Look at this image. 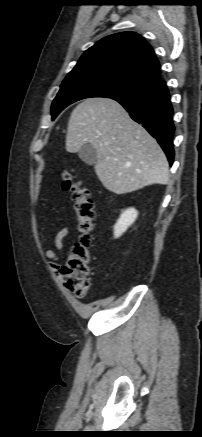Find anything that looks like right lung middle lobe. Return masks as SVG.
Segmentation results:
<instances>
[{
  "mask_svg": "<svg viewBox=\"0 0 202 437\" xmlns=\"http://www.w3.org/2000/svg\"><path fill=\"white\" fill-rule=\"evenodd\" d=\"M153 84L128 75L101 70L70 72L52 103V120L68 105L89 97L117 98L146 91Z\"/></svg>",
  "mask_w": 202,
  "mask_h": 437,
  "instance_id": "1",
  "label": "right lung middle lobe"
}]
</instances>
